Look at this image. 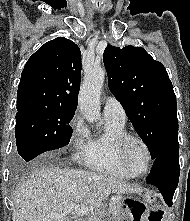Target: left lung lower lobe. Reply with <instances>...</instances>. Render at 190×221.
I'll list each match as a JSON object with an SVG mask.
<instances>
[{
    "label": "left lung lower lobe",
    "mask_w": 190,
    "mask_h": 221,
    "mask_svg": "<svg viewBox=\"0 0 190 221\" xmlns=\"http://www.w3.org/2000/svg\"><path fill=\"white\" fill-rule=\"evenodd\" d=\"M179 174V144L177 143L166 147L157 155L146 181L155 185L162 193L167 205L171 206Z\"/></svg>",
    "instance_id": "0a47b994"
}]
</instances>
